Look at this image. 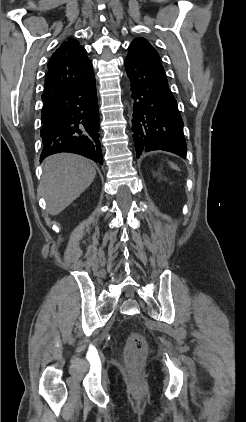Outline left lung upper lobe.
I'll return each instance as SVG.
<instances>
[{"label":"left lung upper lobe","instance_id":"5c2ea615","mask_svg":"<svg viewBox=\"0 0 246 422\" xmlns=\"http://www.w3.org/2000/svg\"><path fill=\"white\" fill-rule=\"evenodd\" d=\"M130 46L138 50L157 70L165 74L158 52L146 39L136 38Z\"/></svg>","mask_w":246,"mask_h":422}]
</instances>
